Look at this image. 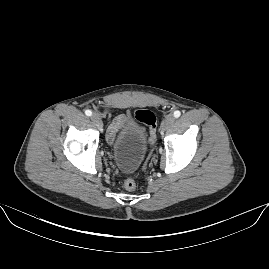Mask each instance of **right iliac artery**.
Segmentation results:
<instances>
[{"mask_svg":"<svg viewBox=\"0 0 269 269\" xmlns=\"http://www.w3.org/2000/svg\"><path fill=\"white\" fill-rule=\"evenodd\" d=\"M85 114H86L87 116H91V115H92V112H91L90 110H86V111H85Z\"/></svg>","mask_w":269,"mask_h":269,"instance_id":"1","label":"right iliac artery"}]
</instances>
